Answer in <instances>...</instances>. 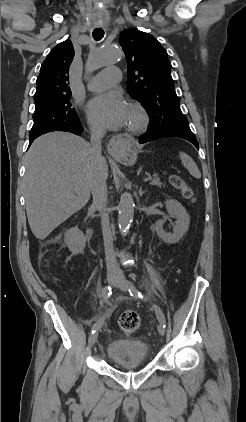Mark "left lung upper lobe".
Here are the masks:
<instances>
[{
    "mask_svg": "<svg viewBox=\"0 0 246 422\" xmlns=\"http://www.w3.org/2000/svg\"><path fill=\"white\" fill-rule=\"evenodd\" d=\"M119 43L127 60V90L147 108L149 130L189 127L175 92L171 63L158 40L138 29H126L120 34Z\"/></svg>",
    "mask_w": 246,
    "mask_h": 422,
    "instance_id": "obj_1",
    "label": "left lung upper lobe"
}]
</instances>
